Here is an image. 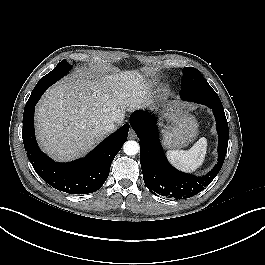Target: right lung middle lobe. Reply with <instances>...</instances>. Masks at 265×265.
<instances>
[{
	"label": "right lung middle lobe",
	"mask_w": 265,
	"mask_h": 265,
	"mask_svg": "<svg viewBox=\"0 0 265 265\" xmlns=\"http://www.w3.org/2000/svg\"><path fill=\"white\" fill-rule=\"evenodd\" d=\"M71 65L66 60L61 61L55 69L42 77L37 84L52 85L62 78L71 69Z\"/></svg>",
	"instance_id": "dd1d6c3e"
}]
</instances>
